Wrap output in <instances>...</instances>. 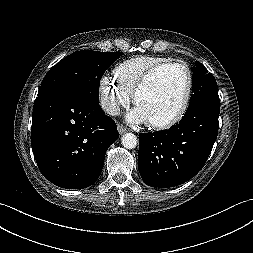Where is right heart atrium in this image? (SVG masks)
<instances>
[{
    "instance_id": "1",
    "label": "right heart atrium",
    "mask_w": 253,
    "mask_h": 253,
    "mask_svg": "<svg viewBox=\"0 0 253 253\" xmlns=\"http://www.w3.org/2000/svg\"><path fill=\"white\" fill-rule=\"evenodd\" d=\"M100 103L109 115H116L120 108L131 100V94L123 89L115 79L103 76L99 82Z\"/></svg>"
}]
</instances>
